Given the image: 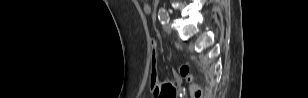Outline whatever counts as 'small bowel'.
Instances as JSON below:
<instances>
[{
	"instance_id": "small-bowel-1",
	"label": "small bowel",
	"mask_w": 308,
	"mask_h": 98,
	"mask_svg": "<svg viewBox=\"0 0 308 98\" xmlns=\"http://www.w3.org/2000/svg\"><path fill=\"white\" fill-rule=\"evenodd\" d=\"M141 6L144 13L149 14L151 12V5L147 0H141ZM166 81V80H164ZM174 85V84H173Z\"/></svg>"
}]
</instances>
